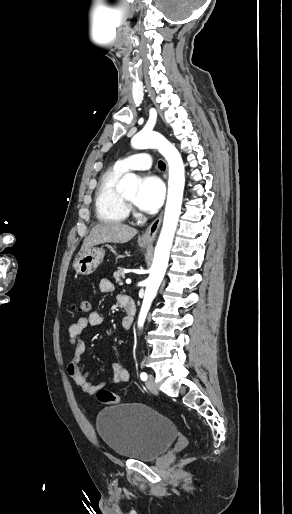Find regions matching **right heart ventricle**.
I'll return each instance as SVG.
<instances>
[{"label": "right heart ventricle", "mask_w": 292, "mask_h": 514, "mask_svg": "<svg viewBox=\"0 0 292 514\" xmlns=\"http://www.w3.org/2000/svg\"><path fill=\"white\" fill-rule=\"evenodd\" d=\"M122 175L123 173L116 169H109L99 180L95 191L94 208L100 222H122L128 215L118 199L120 191L116 187Z\"/></svg>", "instance_id": "e07e8e85"}]
</instances>
